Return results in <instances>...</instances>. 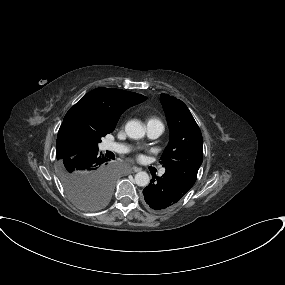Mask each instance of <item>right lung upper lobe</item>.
Wrapping results in <instances>:
<instances>
[{
  "label": "right lung upper lobe",
  "instance_id": "right-lung-upper-lobe-1",
  "mask_svg": "<svg viewBox=\"0 0 285 285\" xmlns=\"http://www.w3.org/2000/svg\"><path fill=\"white\" fill-rule=\"evenodd\" d=\"M147 97L121 89L96 88L82 97L65 115L58 132L56 156L73 158L94 148L111 133L121 114Z\"/></svg>",
  "mask_w": 285,
  "mask_h": 285
}]
</instances>
